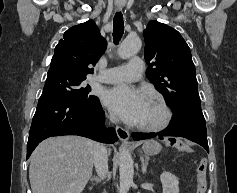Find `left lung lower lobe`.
Segmentation results:
<instances>
[{"mask_svg":"<svg viewBox=\"0 0 237 193\" xmlns=\"http://www.w3.org/2000/svg\"><path fill=\"white\" fill-rule=\"evenodd\" d=\"M156 136H159L160 139H163V136L184 137L201 145L209 152L206 124L205 121H202L201 119H193L180 123L172 122L169 127L157 134L132 133L134 140L149 139Z\"/></svg>","mask_w":237,"mask_h":193,"instance_id":"left-lung-lower-lobe-1","label":"left lung lower lobe"}]
</instances>
